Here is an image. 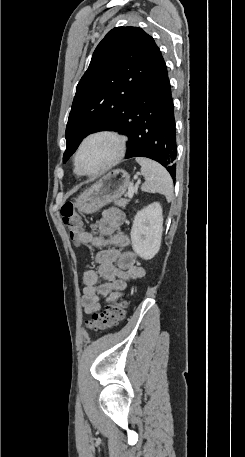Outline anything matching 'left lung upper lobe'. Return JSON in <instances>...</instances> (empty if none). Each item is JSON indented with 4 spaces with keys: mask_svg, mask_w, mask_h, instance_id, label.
I'll use <instances>...</instances> for the list:
<instances>
[{
    "mask_svg": "<svg viewBox=\"0 0 245 457\" xmlns=\"http://www.w3.org/2000/svg\"><path fill=\"white\" fill-rule=\"evenodd\" d=\"M160 58L154 39L141 28L115 27L106 34L77 85L63 162L88 134L110 131L136 109Z\"/></svg>",
    "mask_w": 245,
    "mask_h": 457,
    "instance_id": "left-lung-upper-lobe-1",
    "label": "left lung upper lobe"
}]
</instances>
